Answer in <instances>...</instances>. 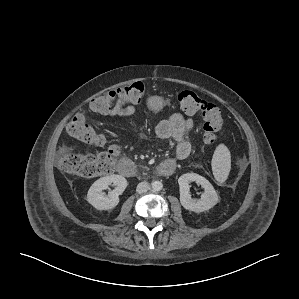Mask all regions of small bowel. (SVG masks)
Returning a JSON list of instances; mask_svg holds the SVG:
<instances>
[{
  "label": "small bowel",
  "mask_w": 299,
  "mask_h": 299,
  "mask_svg": "<svg viewBox=\"0 0 299 299\" xmlns=\"http://www.w3.org/2000/svg\"><path fill=\"white\" fill-rule=\"evenodd\" d=\"M136 107L133 103H118L107 115L109 117H128L135 113ZM194 128V121L190 117H184L174 113L168 119L161 121L156 127V134L161 139H173L177 142L176 158L187 159L191 154V145L185 136Z\"/></svg>",
  "instance_id": "1"
}]
</instances>
